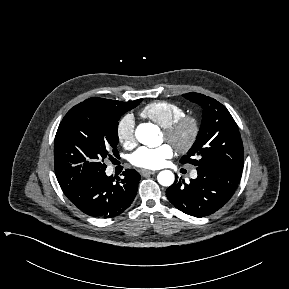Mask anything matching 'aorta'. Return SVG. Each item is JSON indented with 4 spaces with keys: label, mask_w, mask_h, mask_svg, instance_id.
Returning <instances> with one entry per match:
<instances>
[{
    "label": "aorta",
    "mask_w": 289,
    "mask_h": 289,
    "mask_svg": "<svg viewBox=\"0 0 289 289\" xmlns=\"http://www.w3.org/2000/svg\"><path fill=\"white\" fill-rule=\"evenodd\" d=\"M137 140L149 147L158 146V128L151 123H143L138 125L135 131ZM157 180L162 186H171L174 183L175 177L170 170H163L159 172Z\"/></svg>",
    "instance_id": "762f6f07"
}]
</instances>
